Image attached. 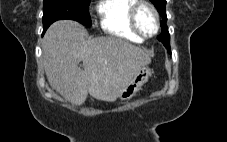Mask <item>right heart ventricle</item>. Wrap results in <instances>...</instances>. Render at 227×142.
<instances>
[{"instance_id": "e07e8e85", "label": "right heart ventricle", "mask_w": 227, "mask_h": 142, "mask_svg": "<svg viewBox=\"0 0 227 142\" xmlns=\"http://www.w3.org/2000/svg\"><path fill=\"white\" fill-rule=\"evenodd\" d=\"M137 0H101L96 9L102 31L110 36L134 43H141L143 38L130 26L129 11Z\"/></svg>"}]
</instances>
